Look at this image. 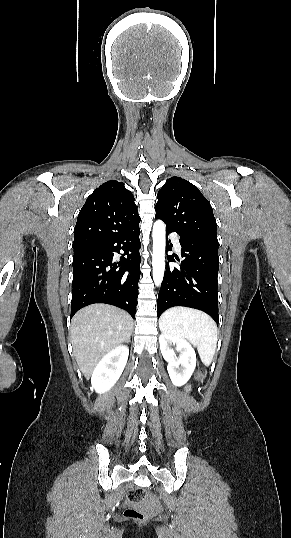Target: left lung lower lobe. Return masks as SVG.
<instances>
[{
  "label": "left lung lower lobe",
  "mask_w": 291,
  "mask_h": 538,
  "mask_svg": "<svg viewBox=\"0 0 291 538\" xmlns=\"http://www.w3.org/2000/svg\"><path fill=\"white\" fill-rule=\"evenodd\" d=\"M170 232L175 231L167 229V234ZM179 236L184 260L179 267L166 266L158 295L157 315L159 317L170 307L185 306L206 312L218 324V242ZM167 247L171 250L169 245ZM168 260L174 261L173 256L169 255Z\"/></svg>",
  "instance_id": "1"
}]
</instances>
